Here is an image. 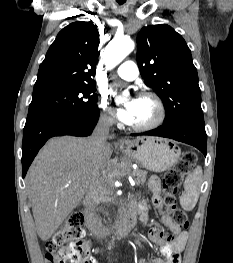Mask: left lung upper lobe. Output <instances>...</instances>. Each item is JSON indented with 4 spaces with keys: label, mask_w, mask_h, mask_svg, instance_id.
Masks as SVG:
<instances>
[{
    "label": "left lung upper lobe",
    "mask_w": 233,
    "mask_h": 263,
    "mask_svg": "<svg viewBox=\"0 0 233 263\" xmlns=\"http://www.w3.org/2000/svg\"><path fill=\"white\" fill-rule=\"evenodd\" d=\"M137 43L144 82L164 103L163 124H204L197 70L182 36L166 24L151 25L141 29Z\"/></svg>",
    "instance_id": "obj_1"
}]
</instances>
